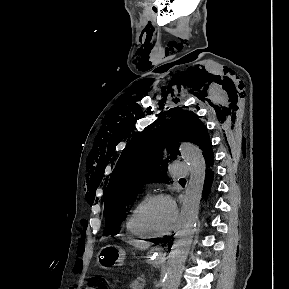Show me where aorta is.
I'll return each instance as SVG.
<instances>
[{"label": "aorta", "mask_w": 289, "mask_h": 289, "mask_svg": "<svg viewBox=\"0 0 289 289\" xmlns=\"http://www.w3.org/2000/svg\"><path fill=\"white\" fill-rule=\"evenodd\" d=\"M181 157L188 164L190 179L182 203L180 222L168 256L162 289H178L198 220L200 201L205 180L206 164L198 146L184 142L179 148Z\"/></svg>", "instance_id": "762f6f07"}]
</instances>
